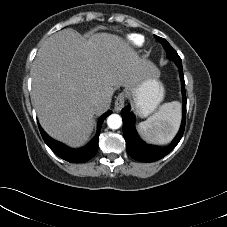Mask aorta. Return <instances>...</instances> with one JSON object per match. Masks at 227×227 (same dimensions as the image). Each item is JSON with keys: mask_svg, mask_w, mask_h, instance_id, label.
<instances>
[{"mask_svg": "<svg viewBox=\"0 0 227 227\" xmlns=\"http://www.w3.org/2000/svg\"><path fill=\"white\" fill-rule=\"evenodd\" d=\"M107 125L109 128L115 130L121 127L122 125V118L118 114H111L107 118Z\"/></svg>", "mask_w": 227, "mask_h": 227, "instance_id": "obj_1", "label": "aorta"}]
</instances>
